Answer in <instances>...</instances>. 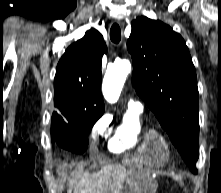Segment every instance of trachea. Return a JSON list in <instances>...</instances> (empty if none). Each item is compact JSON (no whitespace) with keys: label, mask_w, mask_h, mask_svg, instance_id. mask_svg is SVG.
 <instances>
[{"label":"trachea","mask_w":221,"mask_h":193,"mask_svg":"<svg viewBox=\"0 0 221 193\" xmlns=\"http://www.w3.org/2000/svg\"><path fill=\"white\" fill-rule=\"evenodd\" d=\"M110 39L114 43H119L121 40V30L118 24H113L110 29Z\"/></svg>","instance_id":"1"}]
</instances>
